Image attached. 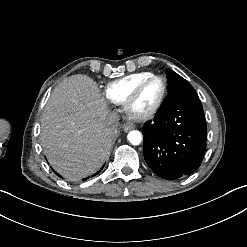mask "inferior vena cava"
Listing matches in <instances>:
<instances>
[{
  "instance_id": "inferior-vena-cava-1",
  "label": "inferior vena cava",
  "mask_w": 247,
  "mask_h": 247,
  "mask_svg": "<svg viewBox=\"0 0 247 247\" xmlns=\"http://www.w3.org/2000/svg\"><path fill=\"white\" fill-rule=\"evenodd\" d=\"M108 125L110 126L114 135H117L119 130V115L116 112H110L107 117Z\"/></svg>"
}]
</instances>
